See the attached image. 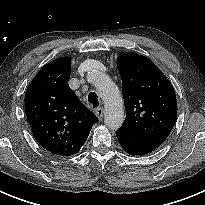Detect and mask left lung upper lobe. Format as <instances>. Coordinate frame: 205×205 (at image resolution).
<instances>
[{
  "label": "left lung upper lobe",
  "instance_id": "left-lung-upper-lobe-1",
  "mask_svg": "<svg viewBox=\"0 0 205 205\" xmlns=\"http://www.w3.org/2000/svg\"><path fill=\"white\" fill-rule=\"evenodd\" d=\"M117 67L126 109L121 128L163 143L177 118L172 84L150 59L136 53L121 54Z\"/></svg>",
  "mask_w": 205,
  "mask_h": 205
}]
</instances>
